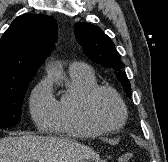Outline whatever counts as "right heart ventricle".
I'll return each mask as SVG.
<instances>
[{
    "label": "right heart ventricle",
    "mask_w": 168,
    "mask_h": 162,
    "mask_svg": "<svg viewBox=\"0 0 168 162\" xmlns=\"http://www.w3.org/2000/svg\"><path fill=\"white\" fill-rule=\"evenodd\" d=\"M97 85L92 70L87 72L70 71L68 86L57 101V116L51 129L71 137H92L102 133L85 119L82 101L86 92Z\"/></svg>",
    "instance_id": "e07e8e85"
}]
</instances>
